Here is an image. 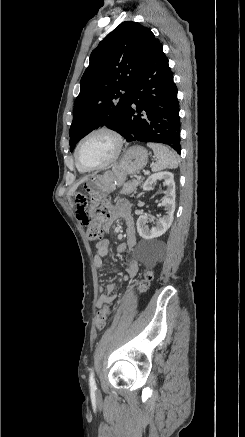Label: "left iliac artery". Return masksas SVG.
<instances>
[{
	"mask_svg": "<svg viewBox=\"0 0 245 437\" xmlns=\"http://www.w3.org/2000/svg\"><path fill=\"white\" fill-rule=\"evenodd\" d=\"M89 385L91 389H96V383L94 378V372L91 369L90 376H89Z\"/></svg>",
	"mask_w": 245,
	"mask_h": 437,
	"instance_id": "left-iliac-artery-1",
	"label": "left iliac artery"
}]
</instances>
